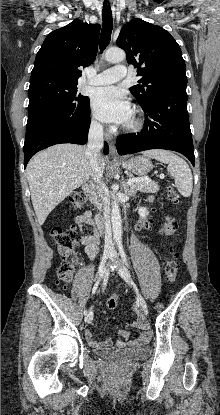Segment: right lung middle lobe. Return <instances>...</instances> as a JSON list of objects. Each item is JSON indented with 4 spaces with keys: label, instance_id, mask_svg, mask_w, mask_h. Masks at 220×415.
I'll list each match as a JSON object with an SVG mask.
<instances>
[{
    "label": "right lung middle lobe",
    "instance_id": "right-lung-middle-lobe-1",
    "mask_svg": "<svg viewBox=\"0 0 220 415\" xmlns=\"http://www.w3.org/2000/svg\"><path fill=\"white\" fill-rule=\"evenodd\" d=\"M77 84L47 77L30 80L27 126L56 114L67 120L80 118L90 102L77 94Z\"/></svg>",
    "mask_w": 220,
    "mask_h": 415
}]
</instances>
